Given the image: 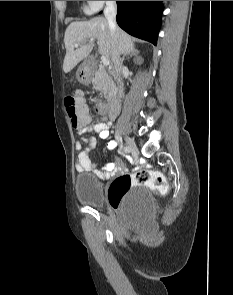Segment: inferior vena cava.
<instances>
[{
  "label": "inferior vena cava",
  "mask_w": 233,
  "mask_h": 295,
  "mask_svg": "<svg viewBox=\"0 0 233 295\" xmlns=\"http://www.w3.org/2000/svg\"><path fill=\"white\" fill-rule=\"evenodd\" d=\"M116 13H117V5L116 1H106V7L104 10L105 18L108 22L109 28L112 32V47H113V62L117 68H122V59L120 58V54L117 50V42H116Z\"/></svg>",
  "instance_id": "602c4592"
}]
</instances>
